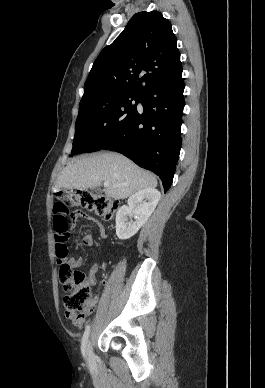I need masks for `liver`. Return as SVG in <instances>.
Instances as JSON below:
<instances>
[{"label": "liver", "instance_id": "1", "mask_svg": "<svg viewBox=\"0 0 265 388\" xmlns=\"http://www.w3.org/2000/svg\"><path fill=\"white\" fill-rule=\"evenodd\" d=\"M101 182H109L110 186L104 192L114 200H124L139 190L157 186L156 176L141 170L121 154L109 152L100 156L74 158L59 174L55 190H86L100 186Z\"/></svg>", "mask_w": 265, "mask_h": 388}]
</instances>
